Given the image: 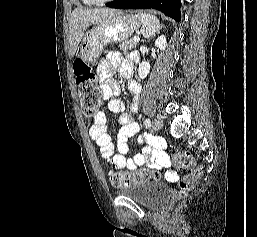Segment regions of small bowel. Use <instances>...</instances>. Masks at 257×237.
Segmentation results:
<instances>
[{
	"mask_svg": "<svg viewBox=\"0 0 257 237\" xmlns=\"http://www.w3.org/2000/svg\"><path fill=\"white\" fill-rule=\"evenodd\" d=\"M113 68L117 69L120 75L131 77L133 67L130 61L123 60L120 54L115 51L108 52L98 67L99 78L102 81V93L107 100V108L110 112L120 113L119 123L121 128L117 137L118 153L114 154V145L107 133L106 116L103 112H98L94 116L93 124L89 129L90 138L99 146L101 157L115 169L134 170L145 162H148V165L156 170L168 169L170 159L164 150L165 142L158 137L140 139V142H145L146 145L141 151L136 152L132 158L128 156V140L139 131V125L133 119V115L138 109V98L133 97L129 104V111L124 112V103L113 97L119 90L118 83L112 78L111 70ZM128 87L134 95L140 91V85L137 82L130 81ZM166 177L174 180L177 175L174 172L167 171Z\"/></svg>",
	"mask_w": 257,
	"mask_h": 237,
	"instance_id": "small-bowel-1",
	"label": "small bowel"
}]
</instances>
